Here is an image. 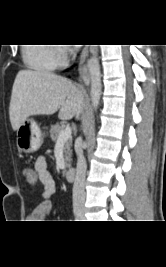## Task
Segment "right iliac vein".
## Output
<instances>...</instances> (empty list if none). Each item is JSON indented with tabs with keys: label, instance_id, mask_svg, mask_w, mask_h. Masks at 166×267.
Masks as SVG:
<instances>
[{
	"label": "right iliac vein",
	"instance_id": "right-iliac-vein-1",
	"mask_svg": "<svg viewBox=\"0 0 166 267\" xmlns=\"http://www.w3.org/2000/svg\"><path fill=\"white\" fill-rule=\"evenodd\" d=\"M76 215L78 218H83L84 217V212L83 211H77Z\"/></svg>",
	"mask_w": 166,
	"mask_h": 267
}]
</instances>
